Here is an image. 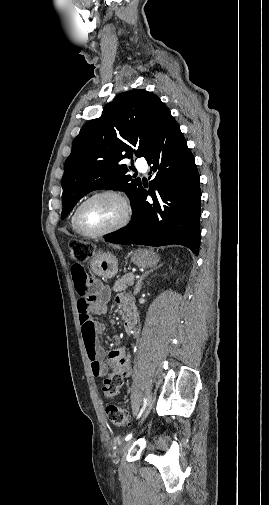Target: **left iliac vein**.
I'll return each instance as SVG.
<instances>
[{
    "label": "left iliac vein",
    "instance_id": "4c4485c4",
    "mask_svg": "<svg viewBox=\"0 0 269 505\" xmlns=\"http://www.w3.org/2000/svg\"><path fill=\"white\" fill-rule=\"evenodd\" d=\"M131 444H132V440H129V441L125 442L124 444H122L120 446V448H119L118 453L120 455H123V454L127 453V451L129 450Z\"/></svg>",
    "mask_w": 269,
    "mask_h": 505
}]
</instances>
